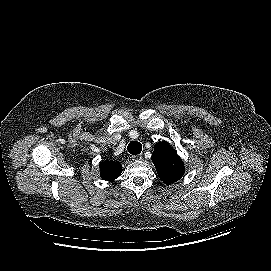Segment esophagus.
Here are the masks:
<instances>
[{"label": "esophagus", "instance_id": "obj_1", "mask_svg": "<svg viewBox=\"0 0 271 271\" xmlns=\"http://www.w3.org/2000/svg\"><path fill=\"white\" fill-rule=\"evenodd\" d=\"M132 159L135 161L142 160V155L141 154L134 155V156H132Z\"/></svg>", "mask_w": 271, "mask_h": 271}]
</instances>
